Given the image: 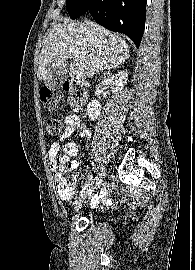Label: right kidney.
Returning <instances> with one entry per match:
<instances>
[{"instance_id": "right-kidney-1", "label": "right kidney", "mask_w": 195, "mask_h": 270, "mask_svg": "<svg viewBox=\"0 0 195 270\" xmlns=\"http://www.w3.org/2000/svg\"><path fill=\"white\" fill-rule=\"evenodd\" d=\"M128 73L126 71H119L112 75L109 79L102 82L103 85H111L112 92L118 93L121 91L127 81ZM101 112V105L98 100H92L87 106V115L91 121L98 118Z\"/></svg>"}]
</instances>
